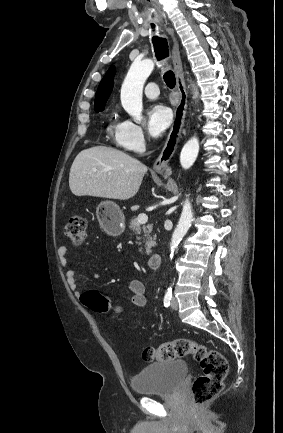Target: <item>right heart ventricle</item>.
<instances>
[{"label": "right heart ventricle", "mask_w": 283, "mask_h": 433, "mask_svg": "<svg viewBox=\"0 0 283 433\" xmlns=\"http://www.w3.org/2000/svg\"><path fill=\"white\" fill-rule=\"evenodd\" d=\"M118 126L114 125V115H110L107 122V130L111 132L113 129H117Z\"/></svg>", "instance_id": "1"}]
</instances>
